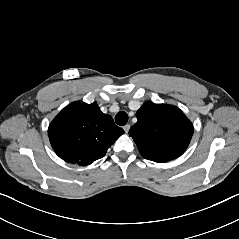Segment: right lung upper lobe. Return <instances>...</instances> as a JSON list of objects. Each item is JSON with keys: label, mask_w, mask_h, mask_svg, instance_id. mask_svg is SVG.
Listing matches in <instances>:
<instances>
[{"label": "right lung upper lobe", "mask_w": 239, "mask_h": 239, "mask_svg": "<svg viewBox=\"0 0 239 239\" xmlns=\"http://www.w3.org/2000/svg\"><path fill=\"white\" fill-rule=\"evenodd\" d=\"M124 133L112 117L96 103L76 101L65 107L48 128L50 143L66 162L81 166L104 157L107 149Z\"/></svg>", "instance_id": "right-lung-upper-lobe-1"}]
</instances>
